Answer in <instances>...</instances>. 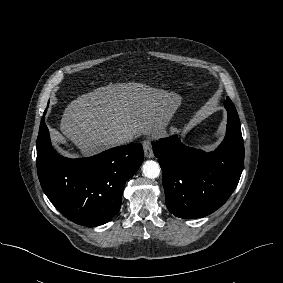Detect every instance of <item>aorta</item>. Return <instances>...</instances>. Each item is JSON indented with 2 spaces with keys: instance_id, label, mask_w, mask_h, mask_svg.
I'll use <instances>...</instances> for the list:
<instances>
[{
  "instance_id": "aorta-1",
  "label": "aorta",
  "mask_w": 283,
  "mask_h": 283,
  "mask_svg": "<svg viewBox=\"0 0 283 283\" xmlns=\"http://www.w3.org/2000/svg\"><path fill=\"white\" fill-rule=\"evenodd\" d=\"M143 174L150 179H155L160 175V166L156 161L148 160L142 166Z\"/></svg>"
}]
</instances>
